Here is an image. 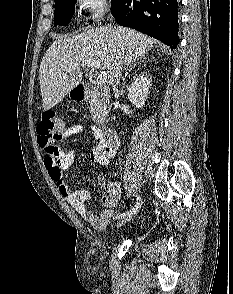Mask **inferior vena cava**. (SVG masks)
Masks as SVG:
<instances>
[{"mask_svg": "<svg viewBox=\"0 0 233 294\" xmlns=\"http://www.w3.org/2000/svg\"><path fill=\"white\" fill-rule=\"evenodd\" d=\"M123 70V65L119 64L115 69V82L113 84V91H117V84L119 83V80L121 78V73Z\"/></svg>", "mask_w": 233, "mask_h": 294, "instance_id": "inferior-vena-cava-1", "label": "inferior vena cava"}]
</instances>
